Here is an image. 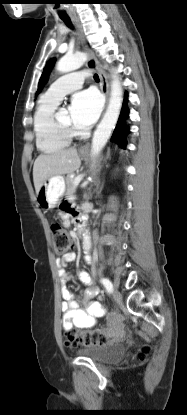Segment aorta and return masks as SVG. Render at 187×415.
I'll return each instance as SVG.
<instances>
[{
	"instance_id": "1",
	"label": "aorta",
	"mask_w": 187,
	"mask_h": 415,
	"mask_svg": "<svg viewBox=\"0 0 187 415\" xmlns=\"http://www.w3.org/2000/svg\"><path fill=\"white\" fill-rule=\"evenodd\" d=\"M87 56L84 53H76L74 55H66L57 63V70L61 73H67L80 68L86 61ZM123 101V89L120 78L116 75L112 77L110 100L103 119L94 132L91 146L92 156H97L107 143L112 130L114 129ZM83 244L86 250L91 247L90 236L88 231L83 234Z\"/></svg>"
}]
</instances>
